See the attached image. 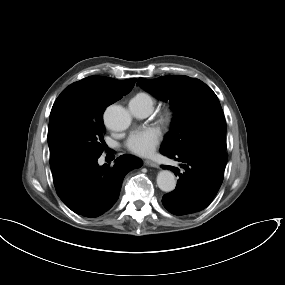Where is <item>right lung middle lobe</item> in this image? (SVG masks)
<instances>
[{"label":"right lung middle lobe","mask_w":285,"mask_h":285,"mask_svg":"<svg viewBox=\"0 0 285 285\" xmlns=\"http://www.w3.org/2000/svg\"><path fill=\"white\" fill-rule=\"evenodd\" d=\"M113 101L80 86H68L56 99L49 120L50 167L54 171L105 149L103 113Z\"/></svg>","instance_id":"dd1d6c3e"}]
</instances>
